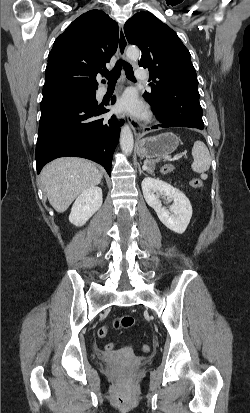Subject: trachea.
Masks as SVG:
<instances>
[{
  "mask_svg": "<svg viewBox=\"0 0 250 413\" xmlns=\"http://www.w3.org/2000/svg\"><path fill=\"white\" fill-rule=\"evenodd\" d=\"M122 66L124 67L126 77L129 80L136 81L132 66L123 60H118L111 71L103 72V75L107 78L109 83H116L117 79L121 75Z\"/></svg>",
  "mask_w": 250,
  "mask_h": 413,
  "instance_id": "1",
  "label": "trachea"
}]
</instances>
